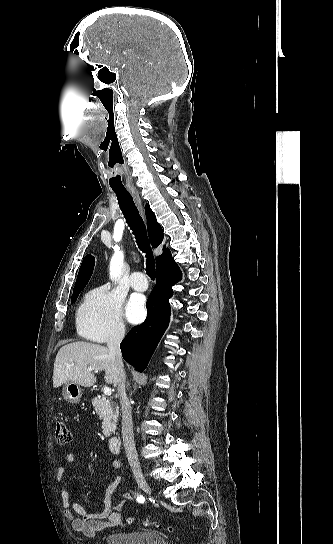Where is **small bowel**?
<instances>
[{"instance_id":"obj_1","label":"small bowel","mask_w":333,"mask_h":544,"mask_svg":"<svg viewBox=\"0 0 333 544\" xmlns=\"http://www.w3.org/2000/svg\"><path fill=\"white\" fill-rule=\"evenodd\" d=\"M74 461V456L71 453L65 454L59 462L56 478L62 484L64 481L65 471ZM113 469H119L121 463L117 459H113L110 463ZM122 481V476L118 475L108 485L104 498V508L101 512L95 513L86 510L82 505L70 499L68 490L61 486L60 497L64 510L65 517L71 522L74 530L80 531L87 536H94L98 532L114 529L123 526L124 517L121 511L126 506L127 502L131 501L133 496L129 492L122 493V501L113 505L112 495Z\"/></svg>"}]
</instances>
